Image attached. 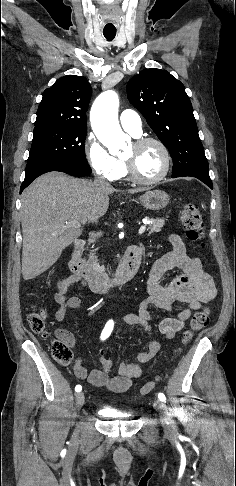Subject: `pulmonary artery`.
Returning a JSON list of instances; mask_svg holds the SVG:
<instances>
[{
    "label": "pulmonary artery",
    "instance_id": "1",
    "mask_svg": "<svg viewBox=\"0 0 236 486\" xmlns=\"http://www.w3.org/2000/svg\"><path fill=\"white\" fill-rule=\"evenodd\" d=\"M120 124L122 128L135 137L142 133V123L140 116L133 110L126 109L120 114Z\"/></svg>",
    "mask_w": 236,
    "mask_h": 486
}]
</instances>
